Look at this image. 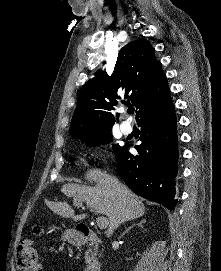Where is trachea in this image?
<instances>
[{
    "instance_id": "obj_1",
    "label": "trachea",
    "mask_w": 221,
    "mask_h": 271,
    "mask_svg": "<svg viewBox=\"0 0 221 271\" xmlns=\"http://www.w3.org/2000/svg\"><path fill=\"white\" fill-rule=\"evenodd\" d=\"M134 111H135V109L133 106H128V110H127L128 113L133 114Z\"/></svg>"
}]
</instances>
